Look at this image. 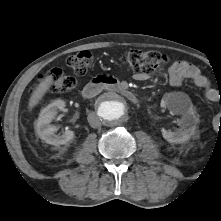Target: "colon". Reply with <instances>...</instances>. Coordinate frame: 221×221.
Listing matches in <instances>:
<instances>
[{"label":"colon","mask_w":221,"mask_h":221,"mask_svg":"<svg viewBox=\"0 0 221 221\" xmlns=\"http://www.w3.org/2000/svg\"><path fill=\"white\" fill-rule=\"evenodd\" d=\"M122 61L132 71L150 75L161 70L168 63V57L157 51L132 49L123 53ZM91 63L92 54L87 50L80 51L67 59V66L76 75L85 74L89 70ZM46 79L50 89L54 92H68L77 86V80L60 69L51 70ZM219 101L221 104V97Z\"/></svg>","instance_id":"colon-1"}]
</instances>
